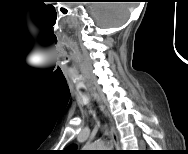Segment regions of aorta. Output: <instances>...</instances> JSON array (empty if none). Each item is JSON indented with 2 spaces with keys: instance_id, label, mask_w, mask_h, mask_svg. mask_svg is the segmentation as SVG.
<instances>
[{
  "instance_id": "762f6f07",
  "label": "aorta",
  "mask_w": 188,
  "mask_h": 154,
  "mask_svg": "<svg viewBox=\"0 0 188 154\" xmlns=\"http://www.w3.org/2000/svg\"><path fill=\"white\" fill-rule=\"evenodd\" d=\"M85 148L89 150H107L109 149V144L103 140H97L92 144L86 145Z\"/></svg>"
}]
</instances>
